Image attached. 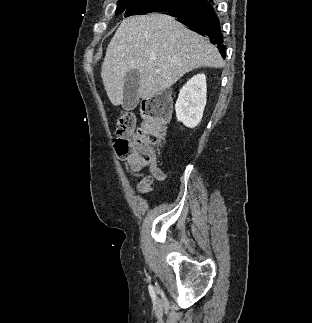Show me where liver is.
<instances>
[{"label":"liver","mask_w":312,"mask_h":323,"mask_svg":"<svg viewBox=\"0 0 312 323\" xmlns=\"http://www.w3.org/2000/svg\"><path fill=\"white\" fill-rule=\"evenodd\" d=\"M224 68L218 48L166 14L122 20L108 44L101 78L113 106L123 104L125 76L138 70V98H154L195 68Z\"/></svg>","instance_id":"1"}]
</instances>
